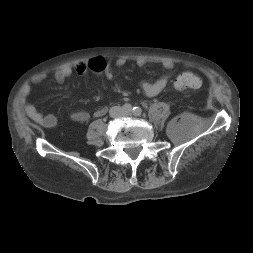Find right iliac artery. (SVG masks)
I'll return each instance as SVG.
<instances>
[{"label":"right iliac artery","instance_id":"obj_1","mask_svg":"<svg viewBox=\"0 0 253 253\" xmlns=\"http://www.w3.org/2000/svg\"><path fill=\"white\" fill-rule=\"evenodd\" d=\"M124 111L127 113H131L133 111V108L130 104H125L123 107Z\"/></svg>","mask_w":253,"mask_h":253}]
</instances>
